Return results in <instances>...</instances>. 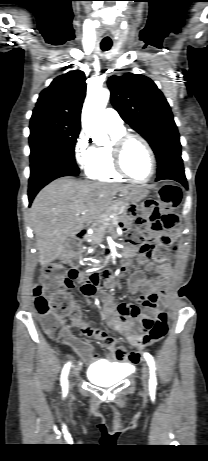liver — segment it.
Wrapping results in <instances>:
<instances>
[{
    "instance_id": "obj_1",
    "label": "liver",
    "mask_w": 208,
    "mask_h": 461,
    "mask_svg": "<svg viewBox=\"0 0 208 461\" xmlns=\"http://www.w3.org/2000/svg\"><path fill=\"white\" fill-rule=\"evenodd\" d=\"M131 189L69 177L59 178L43 188L31 207L41 266L59 258L65 241L79 233L84 224L98 220L118 192L126 194Z\"/></svg>"
}]
</instances>
